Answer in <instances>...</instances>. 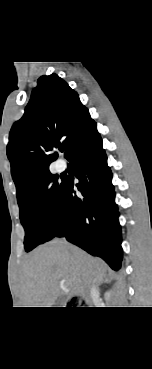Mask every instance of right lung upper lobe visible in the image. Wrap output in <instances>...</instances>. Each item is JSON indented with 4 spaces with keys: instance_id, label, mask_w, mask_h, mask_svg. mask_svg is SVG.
<instances>
[{
    "instance_id": "1",
    "label": "right lung upper lobe",
    "mask_w": 152,
    "mask_h": 369,
    "mask_svg": "<svg viewBox=\"0 0 152 369\" xmlns=\"http://www.w3.org/2000/svg\"><path fill=\"white\" fill-rule=\"evenodd\" d=\"M96 129L88 109L63 79L56 74L41 76L23 117L9 134L7 156L17 199L50 173L49 165L57 158L51 153L54 148L64 145L68 159L75 146Z\"/></svg>"
}]
</instances>
